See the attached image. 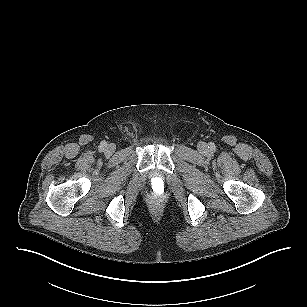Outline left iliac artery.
Segmentation results:
<instances>
[{"mask_svg":"<svg viewBox=\"0 0 307 307\" xmlns=\"http://www.w3.org/2000/svg\"><path fill=\"white\" fill-rule=\"evenodd\" d=\"M208 148H210L211 150H215V144L214 143H209V146H208Z\"/></svg>","mask_w":307,"mask_h":307,"instance_id":"left-iliac-artery-1","label":"left iliac artery"}]
</instances>
